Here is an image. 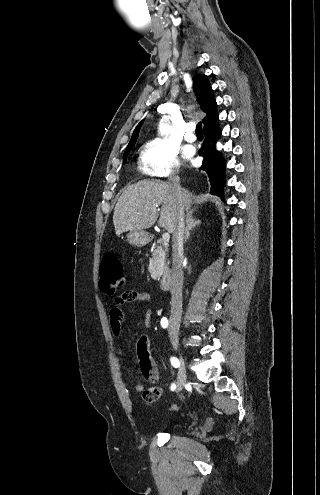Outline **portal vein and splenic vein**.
<instances>
[{
    "mask_svg": "<svg viewBox=\"0 0 320 495\" xmlns=\"http://www.w3.org/2000/svg\"><path fill=\"white\" fill-rule=\"evenodd\" d=\"M170 239V234L168 232L162 235V241L164 245H167Z\"/></svg>",
    "mask_w": 320,
    "mask_h": 495,
    "instance_id": "1",
    "label": "portal vein and splenic vein"
}]
</instances>
